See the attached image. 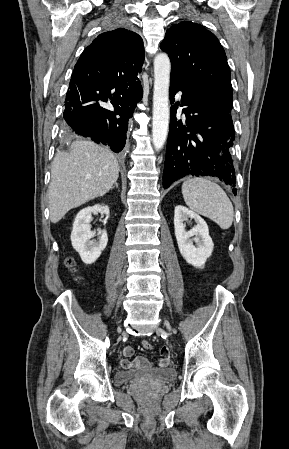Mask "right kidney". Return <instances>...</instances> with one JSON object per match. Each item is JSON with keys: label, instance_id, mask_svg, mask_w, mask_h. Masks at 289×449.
<instances>
[{"label": "right kidney", "instance_id": "right-kidney-1", "mask_svg": "<svg viewBox=\"0 0 289 449\" xmlns=\"http://www.w3.org/2000/svg\"><path fill=\"white\" fill-rule=\"evenodd\" d=\"M98 212L105 214L106 219L109 218V207L107 205L97 204L82 209L77 214L73 223V230L71 232L72 246L79 253L85 264L94 263L107 246L108 236L106 230L98 231V242L91 240L95 237L96 233L91 231L88 222L92 218V214Z\"/></svg>", "mask_w": 289, "mask_h": 449}]
</instances>
